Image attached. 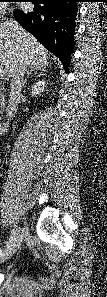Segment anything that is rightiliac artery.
<instances>
[{"instance_id":"right-iliac-artery-1","label":"right iliac artery","mask_w":107,"mask_h":297,"mask_svg":"<svg viewBox=\"0 0 107 297\" xmlns=\"http://www.w3.org/2000/svg\"><path fill=\"white\" fill-rule=\"evenodd\" d=\"M14 231V234H17L18 235V233H19V231L18 230H13ZM20 235V234H19ZM21 237H22V235H20ZM17 241V240H16ZM4 251H6V249L4 250H0V257H2L3 256V253H4Z\"/></svg>"}]
</instances>
